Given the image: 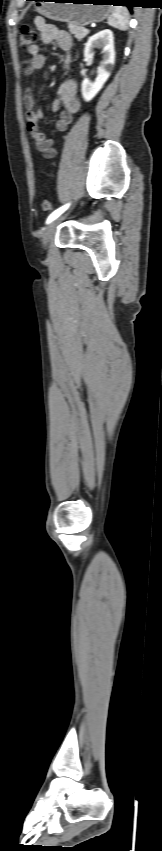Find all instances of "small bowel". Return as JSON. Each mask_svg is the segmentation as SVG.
<instances>
[{"instance_id":"c3829d8e","label":"small bowel","mask_w":162,"mask_h":851,"mask_svg":"<svg viewBox=\"0 0 162 851\" xmlns=\"http://www.w3.org/2000/svg\"><path fill=\"white\" fill-rule=\"evenodd\" d=\"M36 27L41 33V40L44 43L55 42L64 51L68 52L72 39L71 36L64 30L58 28L54 24L47 23L44 18L35 20ZM32 58L23 63V70L26 75H31L37 70H40L45 65V57L40 53V48L33 45L28 49ZM68 58L65 61L67 64ZM24 106L26 111L27 129L34 141L35 148L43 154L47 159H52L56 156L57 151L53 146V141L47 138L40 130V122L44 117L43 111L35 107V98L30 89L24 93ZM80 101L77 96V84L73 79H67L63 82L57 93V98L53 101L51 109L53 112H59V118L56 122V128L60 132L67 131L69 125L73 121V117L80 110Z\"/></svg>"}]
</instances>
